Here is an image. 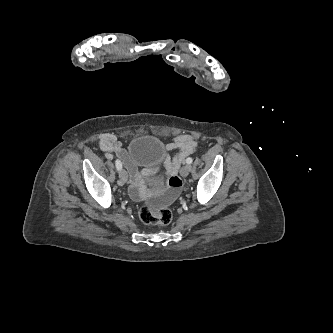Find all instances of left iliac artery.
<instances>
[{
    "instance_id": "obj_1",
    "label": "left iliac artery",
    "mask_w": 333,
    "mask_h": 333,
    "mask_svg": "<svg viewBox=\"0 0 333 333\" xmlns=\"http://www.w3.org/2000/svg\"><path fill=\"white\" fill-rule=\"evenodd\" d=\"M192 161H193V159H192V158H190V157L186 159V163H187V164H191V163H192Z\"/></svg>"
}]
</instances>
